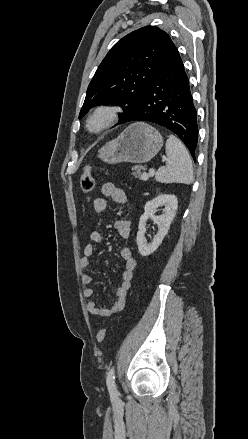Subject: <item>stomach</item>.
Listing matches in <instances>:
<instances>
[{
  "instance_id": "obj_1",
  "label": "stomach",
  "mask_w": 248,
  "mask_h": 439,
  "mask_svg": "<svg viewBox=\"0 0 248 439\" xmlns=\"http://www.w3.org/2000/svg\"><path fill=\"white\" fill-rule=\"evenodd\" d=\"M163 138L152 126L144 122L133 123L116 139L98 151V157L109 164L121 162L146 163L161 149Z\"/></svg>"
}]
</instances>
